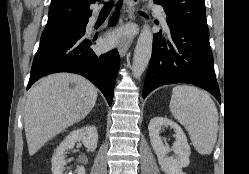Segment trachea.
<instances>
[{"label": "trachea", "mask_w": 249, "mask_h": 174, "mask_svg": "<svg viewBox=\"0 0 249 174\" xmlns=\"http://www.w3.org/2000/svg\"><path fill=\"white\" fill-rule=\"evenodd\" d=\"M112 5H113L112 2L105 3L103 10H110L112 8Z\"/></svg>", "instance_id": "3493384b"}]
</instances>
